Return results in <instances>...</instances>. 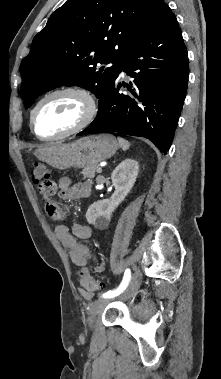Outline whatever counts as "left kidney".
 <instances>
[{
	"mask_svg": "<svg viewBox=\"0 0 221 379\" xmlns=\"http://www.w3.org/2000/svg\"><path fill=\"white\" fill-rule=\"evenodd\" d=\"M139 171V164L132 159H125L112 172L111 179L115 192L109 200L94 202L86 212V219L93 225L107 223L114 210L132 189Z\"/></svg>",
	"mask_w": 221,
	"mask_h": 379,
	"instance_id": "obj_1",
	"label": "left kidney"
}]
</instances>
